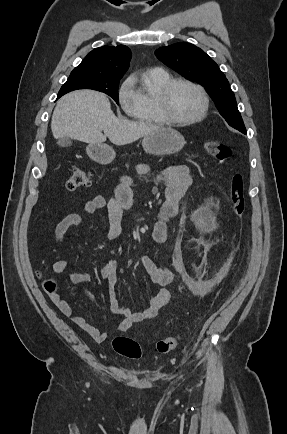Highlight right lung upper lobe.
I'll list each match as a JSON object with an SVG mask.
<instances>
[{
  "label": "right lung upper lobe",
  "instance_id": "1",
  "mask_svg": "<svg viewBox=\"0 0 287 434\" xmlns=\"http://www.w3.org/2000/svg\"><path fill=\"white\" fill-rule=\"evenodd\" d=\"M130 59L125 45L103 46L92 50L71 73L119 79L129 68Z\"/></svg>",
  "mask_w": 287,
  "mask_h": 434
}]
</instances>
